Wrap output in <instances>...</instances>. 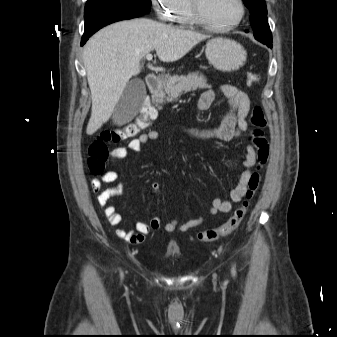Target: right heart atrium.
Masks as SVG:
<instances>
[{
    "label": "right heart atrium",
    "mask_w": 337,
    "mask_h": 337,
    "mask_svg": "<svg viewBox=\"0 0 337 337\" xmlns=\"http://www.w3.org/2000/svg\"><path fill=\"white\" fill-rule=\"evenodd\" d=\"M157 16L163 21H173L180 0H151Z\"/></svg>",
    "instance_id": "1"
}]
</instances>
